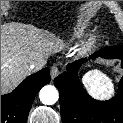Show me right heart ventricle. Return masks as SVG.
<instances>
[{"label": "right heart ventricle", "instance_id": "e07e8e85", "mask_svg": "<svg viewBox=\"0 0 123 123\" xmlns=\"http://www.w3.org/2000/svg\"><path fill=\"white\" fill-rule=\"evenodd\" d=\"M85 29H86V26H84V25H80V26L74 28L70 34L71 39H75V38L79 37L81 34L84 33Z\"/></svg>", "mask_w": 123, "mask_h": 123}]
</instances>
